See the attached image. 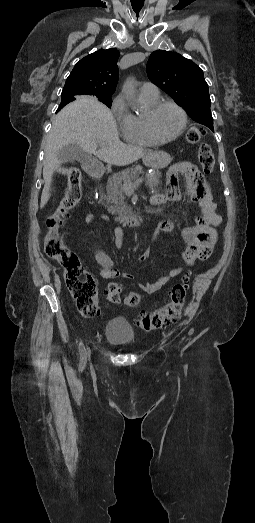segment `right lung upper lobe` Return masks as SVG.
Returning <instances> with one entry per match:
<instances>
[{"mask_svg": "<svg viewBox=\"0 0 255 523\" xmlns=\"http://www.w3.org/2000/svg\"><path fill=\"white\" fill-rule=\"evenodd\" d=\"M119 51L116 48L98 50L76 63L68 76L62 94L60 111L66 104L74 101V96L82 98L111 97L115 92L119 70L117 61Z\"/></svg>", "mask_w": 255, "mask_h": 523, "instance_id": "cb5924a9", "label": "right lung upper lobe"}]
</instances>
